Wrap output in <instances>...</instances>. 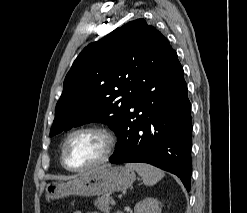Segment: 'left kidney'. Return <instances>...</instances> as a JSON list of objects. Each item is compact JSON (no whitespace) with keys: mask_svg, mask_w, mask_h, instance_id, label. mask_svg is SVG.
Wrapping results in <instances>:
<instances>
[{"mask_svg":"<svg viewBox=\"0 0 247 213\" xmlns=\"http://www.w3.org/2000/svg\"><path fill=\"white\" fill-rule=\"evenodd\" d=\"M134 213H161L159 201L154 198H145L135 205Z\"/></svg>","mask_w":247,"mask_h":213,"instance_id":"left-kidney-1","label":"left kidney"}]
</instances>
